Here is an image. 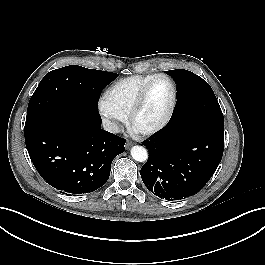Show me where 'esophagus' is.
I'll return each instance as SVG.
<instances>
[{"mask_svg": "<svg viewBox=\"0 0 265 265\" xmlns=\"http://www.w3.org/2000/svg\"><path fill=\"white\" fill-rule=\"evenodd\" d=\"M131 145H132L131 142H126V144H125L126 149H128Z\"/></svg>", "mask_w": 265, "mask_h": 265, "instance_id": "34e87169", "label": "esophagus"}]
</instances>
